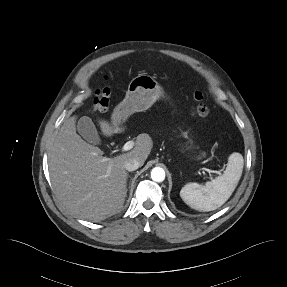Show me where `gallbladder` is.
Here are the masks:
<instances>
[{
	"instance_id": "1",
	"label": "gallbladder",
	"mask_w": 287,
	"mask_h": 287,
	"mask_svg": "<svg viewBox=\"0 0 287 287\" xmlns=\"http://www.w3.org/2000/svg\"><path fill=\"white\" fill-rule=\"evenodd\" d=\"M77 130L79 134L88 142L92 144H99L100 138L97 129L88 116H83L78 120Z\"/></svg>"
}]
</instances>
